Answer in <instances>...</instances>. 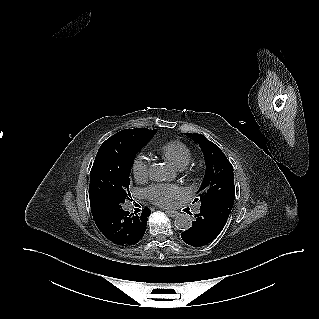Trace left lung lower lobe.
<instances>
[{
	"label": "left lung lower lobe",
	"mask_w": 319,
	"mask_h": 319,
	"mask_svg": "<svg viewBox=\"0 0 319 319\" xmlns=\"http://www.w3.org/2000/svg\"><path fill=\"white\" fill-rule=\"evenodd\" d=\"M233 204L234 200H222L201 205L192 226L181 233L183 241L195 247L213 241L224 228Z\"/></svg>",
	"instance_id": "obj_1"
}]
</instances>
